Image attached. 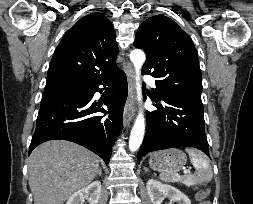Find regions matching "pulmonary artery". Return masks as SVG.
<instances>
[{
    "mask_svg": "<svg viewBox=\"0 0 253 204\" xmlns=\"http://www.w3.org/2000/svg\"><path fill=\"white\" fill-rule=\"evenodd\" d=\"M144 82L147 84V85H150V86H154L155 85V78L150 76V75H146L144 77Z\"/></svg>",
    "mask_w": 253,
    "mask_h": 204,
    "instance_id": "pulmonary-artery-1",
    "label": "pulmonary artery"
}]
</instances>
